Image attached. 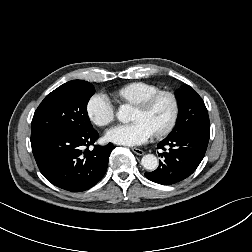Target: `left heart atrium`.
<instances>
[{"instance_id": "39dd6f15", "label": "left heart atrium", "mask_w": 252, "mask_h": 252, "mask_svg": "<svg viewBox=\"0 0 252 252\" xmlns=\"http://www.w3.org/2000/svg\"><path fill=\"white\" fill-rule=\"evenodd\" d=\"M155 131L144 120H138L129 124H117L107 130L105 138L107 141L125 145L136 146L148 142Z\"/></svg>"}]
</instances>
